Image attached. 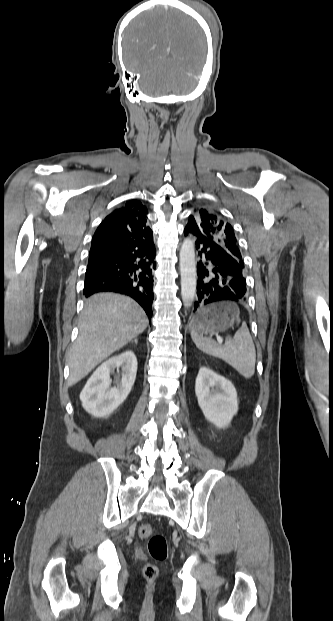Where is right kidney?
Here are the masks:
<instances>
[{"label": "right kidney", "mask_w": 333, "mask_h": 621, "mask_svg": "<svg viewBox=\"0 0 333 621\" xmlns=\"http://www.w3.org/2000/svg\"><path fill=\"white\" fill-rule=\"evenodd\" d=\"M116 368H121L122 378L111 387L110 375ZM136 373L137 358L132 350L111 357L96 369L80 393L83 408L94 417L109 416L129 395Z\"/></svg>", "instance_id": "obj_1"}]
</instances>
